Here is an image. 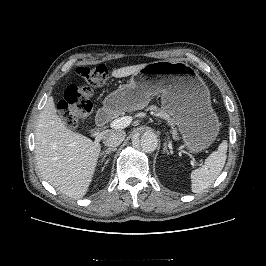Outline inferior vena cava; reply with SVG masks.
I'll return each instance as SVG.
<instances>
[{"mask_svg": "<svg viewBox=\"0 0 266 266\" xmlns=\"http://www.w3.org/2000/svg\"><path fill=\"white\" fill-rule=\"evenodd\" d=\"M126 133L122 130H110L103 135V143L108 147H117L125 139Z\"/></svg>", "mask_w": 266, "mask_h": 266, "instance_id": "602c4592", "label": "inferior vena cava"}]
</instances>
